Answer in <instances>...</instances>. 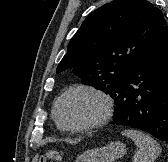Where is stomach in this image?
<instances>
[{
    "instance_id": "0dacf381",
    "label": "stomach",
    "mask_w": 168,
    "mask_h": 162,
    "mask_svg": "<svg viewBox=\"0 0 168 162\" xmlns=\"http://www.w3.org/2000/svg\"><path fill=\"white\" fill-rule=\"evenodd\" d=\"M126 153L123 143L111 142L105 147L95 148L85 151L75 162H114Z\"/></svg>"
}]
</instances>
